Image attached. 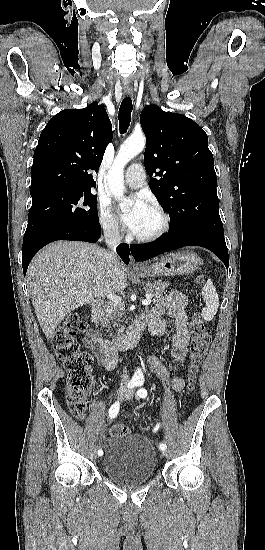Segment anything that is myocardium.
I'll return each instance as SVG.
<instances>
[{
    "label": "myocardium",
    "instance_id": "myocardium-1",
    "mask_svg": "<svg viewBox=\"0 0 265 550\" xmlns=\"http://www.w3.org/2000/svg\"><path fill=\"white\" fill-rule=\"evenodd\" d=\"M149 208L160 217L161 224L157 230H155L150 234H146V235L133 234L134 239L142 243L153 242L161 238L163 235H165L168 232L170 228V217L160 206L151 205Z\"/></svg>",
    "mask_w": 265,
    "mask_h": 550
}]
</instances>
